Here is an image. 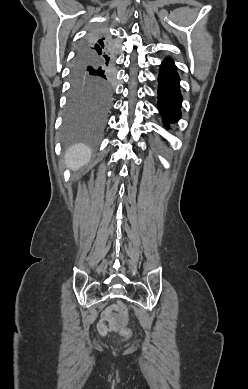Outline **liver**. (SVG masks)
Segmentation results:
<instances>
[{"label": "liver", "instance_id": "liver-1", "mask_svg": "<svg viewBox=\"0 0 248 389\" xmlns=\"http://www.w3.org/2000/svg\"><path fill=\"white\" fill-rule=\"evenodd\" d=\"M90 159L91 151L84 144L72 146L65 154L66 166L75 171L86 165Z\"/></svg>", "mask_w": 248, "mask_h": 389}]
</instances>
